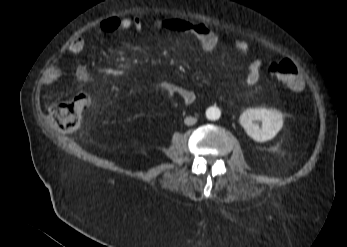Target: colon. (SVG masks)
I'll return each mask as SVG.
<instances>
[{"label": "colon", "mask_w": 347, "mask_h": 247, "mask_svg": "<svg viewBox=\"0 0 347 247\" xmlns=\"http://www.w3.org/2000/svg\"><path fill=\"white\" fill-rule=\"evenodd\" d=\"M270 71L275 79L286 86L296 90L302 87L299 70L291 60L281 59L272 62ZM95 104V96L91 92L83 91L73 100L53 105L49 110V117L60 131L72 132L79 127L82 113L91 111Z\"/></svg>", "instance_id": "obj_1"}]
</instances>
